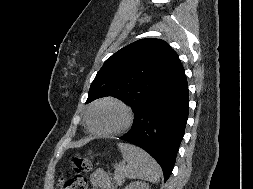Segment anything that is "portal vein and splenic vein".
<instances>
[{"label":"portal vein and splenic vein","mask_w":253,"mask_h":189,"mask_svg":"<svg viewBox=\"0 0 253 189\" xmlns=\"http://www.w3.org/2000/svg\"><path fill=\"white\" fill-rule=\"evenodd\" d=\"M125 164V162L123 161V162H121V164L120 165H118V166H116L115 167V169H120L123 165Z\"/></svg>","instance_id":"portal-vein-and-splenic-vein-1"}]
</instances>
